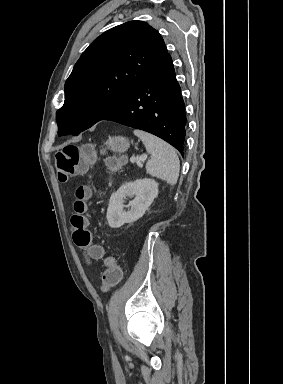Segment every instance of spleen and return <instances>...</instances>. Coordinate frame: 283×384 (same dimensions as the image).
Instances as JSON below:
<instances>
[{
  "label": "spleen",
  "mask_w": 283,
  "mask_h": 384,
  "mask_svg": "<svg viewBox=\"0 0 283 384\" xmlns=\"http://www.w3.org/2000/svg\"><path fill=\"white\" fill-rule=\"evenodd\" d=\"M134 134L142 140L148 154H153V158L148 160L146 164V174H150L152 178L165 180L167 184L174 186L180 170L179 158L174 148L160 138L147 134V132L134 130Z\"/></svg>",
  "instance_id": "spleen-1"
}]
</instances>
